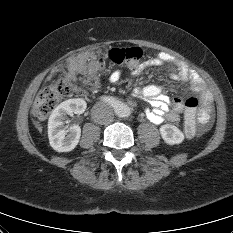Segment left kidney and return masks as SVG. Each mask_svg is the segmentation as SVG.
I'll return each instance as SVG.
<instances>
[{
    "mask_svg": "<svg viewBox=\"0 0 233 233\" xmlns=\"http://www.w3.org/2000/svg\"><path fill=\"white\" fill-rule=\"evenodd\" d=\"M160 134L163 140L169 144H180L184 140V134L176 126L165 124L160 127Z\"/></svg>",
    "mask_w": 233,
    "mask_h": 233,
    "instance_id": "obj_1",
    "label": "left kidney"
}]
</instances>
